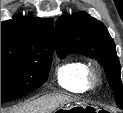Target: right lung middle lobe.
Masks as SVG:
<instances>
[{
  "label": "right lung middle lobe",
  "mask_w": 123,
  "mask_h": 113,
  "mask_svg": "<svg viewBox=\"0 0 123 113\" xmlns=\"http://www.w3.org/2000/svg\"><path fill=\"white\" fill-rule=\"evenodd\" d=\"M52 52L43 43L1 45V103L40 87L47 80Z\"/></svg>",
  "instance_id": "dd1d6c3e"
}]
</instances>
